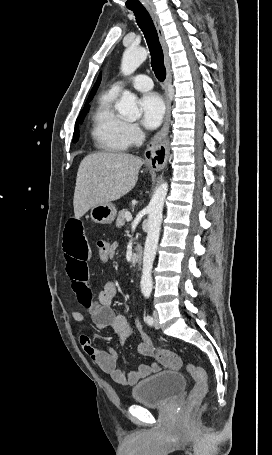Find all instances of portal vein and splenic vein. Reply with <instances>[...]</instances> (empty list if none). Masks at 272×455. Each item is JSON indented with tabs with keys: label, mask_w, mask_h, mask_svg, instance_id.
Masks as SVG:
<instances>
[{
	"label": "portal vein and splenic vein",
	"mask_w": 272,
	"mask_h": 455,
	"mask_svg": "<svg viewBox=\"0 0 272 455\" xmlns=\"http://www.w3.org/2000/svg\"><path fill=\"white\" fill-rule=\"evenodd\" d=\"M126 220H127V222H129V221L132 220V215H131L130 212H127V213H126Z\"/></svg>",
	"instance_id": "obj_1"
}]
</instances>
